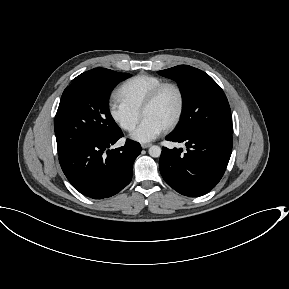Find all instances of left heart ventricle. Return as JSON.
Here are the masks:
<instances>
[{"label":"left heart ventricle","instance_id":"obj_1","mask_svg":"<svg viewBox=\"0 0 289 289\" xmlns=\"http://www.w3.org/2000/svg\"><path fill=\"white\" fill-rule=\"evenodd\" d=\"M177 108L178 95L173 88H167L157 101L144 112L143 117L152 118L166 126L173 119Z\"/></svg>","mask_w":289,"mask_h":289}]
</instances>
